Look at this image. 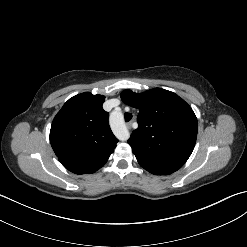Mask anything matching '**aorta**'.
<instances>
[{
  "label": "aorta",
  "mask_w": 247,
  "mask_h": 247,
  "mask_svg": "<svg viewBox=\"0 0 247 247\" xmlns=\"http://www.w3.org/2000/svg\"><path fill=\"white\" fill-rule=\"evenodd\" d=\"M118 115L120 116V119H122L121 114L119 113ZM128 137H129V132L125 127H123V137H122V139L126 140Z\"/></svg>",
  "instance_id": "aorta-1"
}]
</instances>
